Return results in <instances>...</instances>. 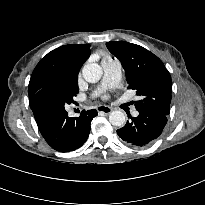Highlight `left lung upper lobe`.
I'll use <instances>...</instances> for the list:
<instances>
[{
	"label": "left lung upper lobe",
	"instance_id": "5c2ea615",
	"mask_svg": "<svg viewBox=\"0 0 205 205\" xmlns=\"http://www.w3.org/2000/svg\"><path fill=\"white\" fill-rule=\"evenodd\" d=\"M106 46L120 60L128 88L142 96L135 102L136 109L169 115L172 84L163 62L147 49L129 42L111 41Z\"/></svg>",
	"mask_w": 205,
	"mask_h": 205
}]
</instances>
